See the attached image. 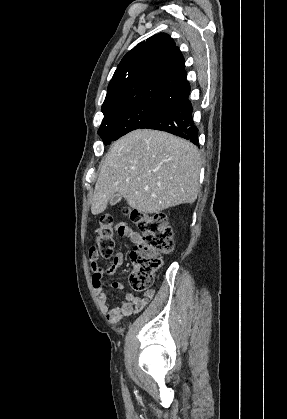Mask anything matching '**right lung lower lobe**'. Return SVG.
<instances>
[{"label":"right lung lower lobe","instance_id":"1","mask_svg":"<svg viewBox=\"0 0 287 419\" xmlns=\"http://www.w3.org/2000/svg\"><path fill=\"white\" fill-rule=\"evenodd\" d=\"M189 95L173 101L140 128L161 130L198 144V129L192 119Z\"/></svg>","mask_w":287,"mask_h":419}]
</instances>
